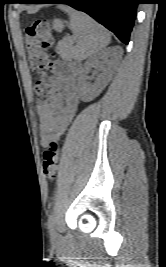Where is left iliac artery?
<instances>
[{
    "label": "left iliac artery",
    "instance_id": "1",
    "mask_svg": "<svg viewBox=\"0 0 166 267\" xmlns=\"http://www.w3.org/2000/svg\"><path fill=\"white\" fill-rule=\"evenodd\" d=\"M54 225H55V216L53 213H51L48 218V226L50 229H52Z\"/></svg>",
    "mask_w": 166,
    "mask_h": 267
}]
</instances>
